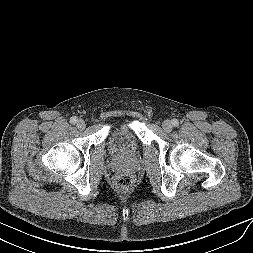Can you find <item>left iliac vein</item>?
Segmentation results:
<instances>
[{
  "mask_svg": "<svg viewBox=\"0 0 253 253\" xmlns=\"http://www.w3.org/2000/svg\"><path fill=\"white\" fill-rule=\"evenodd\" d=\"M162 128L165 132H170L173 128V125L171 123V121L169 120H165L163 123H162Z\"/></svg>",
  "mask_w": 253,
  "mask_h": 253,
  "instance_id": "4c4485c4",
  "label": "left iliac vein"
}]
</instances>
